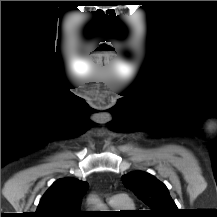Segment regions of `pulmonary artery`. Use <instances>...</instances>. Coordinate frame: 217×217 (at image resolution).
Masks as SVG:
<instances>
[{
  "label": "pulmonary artery",
  "instance_id": "1",
  "mask_svg": "<svg viewBox=\"0 0 217 217\" xmlns=\"http://www.w3.org/2000/svg\"><path fill=\"white\" fill-rule=\"evenodd\" d=\"M128 198L126 195L122 194V193H117L115 195H113L111 198H109L108 202L109 204H122L127 202Z\"/></svg>",
  "mask_w": 217,
  "mask_h": 217
}]
</instances>
